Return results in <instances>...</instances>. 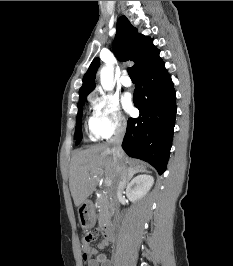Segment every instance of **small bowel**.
Instances as JSON below:
<instances>
[{
    "label": "small bowel",
    "instance_id": "1",
    "mask_svg": "<svg viewBox=\"0 0 233 266\" xmlns=\"http://www.w3.org/2000/svg\"><path fill=\"white\" fill-rule=\"evenodd\" d=\"M109 241L103 239L97 245V248L91 247L90 243L83 241V260L87 266H111L110 260L103 253H98L99 249L108 247Z\"/></svg>",
    "mask_w": 233,
    "mask_h": 266
}]
</instances>
